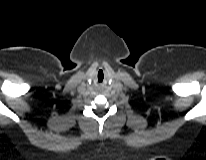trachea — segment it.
<instances>
[{
  "label": "trachea",
  "instance_id": "1",
  "mask_svg": "<svg viewBox=\"0 0 206 160\" xmlns=\"http://www.w3.org/2000/svg\"><path fill=\"white\" fill-rule=\"evenodd\" d=\"M97 81H98V83H102L103 82V80H104V73H103V71L102 70H100L99 72H98V75H97Z\"/></svg>",
  "mask_w": 206,
  "mask_h": 160
}]
</instances>
